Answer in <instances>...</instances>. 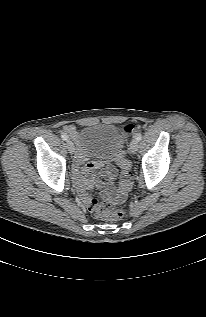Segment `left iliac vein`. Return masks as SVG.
<instances>
[{
    "label": "left iliac vein",
    "instance_id": "obj_1",
    "mask_svg": "<svg viewBox=\"0 0 206 317\" xmlns=\"http://www.w3.org/2000/svg\"><path fill=\"white\" fill-rule=\"evenodd\" d=\"M130 151L135 154L138 151V141L136 139L132 140L130 143Z\"/></svg>",
    "mask_w": 206,
    "mask_h": 317
}]
</instances>
